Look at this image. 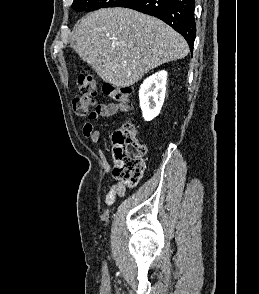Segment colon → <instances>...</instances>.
Wrapping results in <instances>:
<instances>
[{"label": "colon", "mask_w": 259, "mask_h": 294, "mask_svg": "<svg viewBox=\"0 0 259 294\" xmlns=\"http://www.w3.org/2000/svg\"><path fill=\"white\" fill-rule=\"evenodd\" d=\"M79 92L72 98L74 113L79 117H93L96 104L97 82L91 74H81L78 78ZM104 94L117 102L128 104L132 90L112 84L103 86ZM147 147L138 137L133 125L125 124L113 135V176L126 186L135 187L144 171L143 157Z\"/></svg>", "instance_id": "5ec220e1"}]
</instances>
